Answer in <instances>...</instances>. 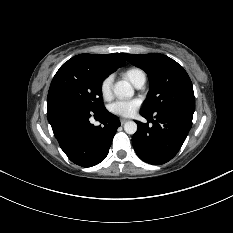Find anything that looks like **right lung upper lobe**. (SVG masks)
Returning <instances> with one entry per match:
<instances>
[{"mask_svg": "<svg viewBox=\"0 0 233 233\" xmlns=\"http://www.w3.org/2000/svg\"><path fill=\"white\" fill-rule=\"evenodd\" d=\"M123 54L124 53H112L103 55L79 54L64 64H79L109 75L125 64Z\"/></svg>", "mask_w": 233, "mask_h": 233, "instance_id": "obj_1", "label": "right lung upper lobe"}]
</instances>
